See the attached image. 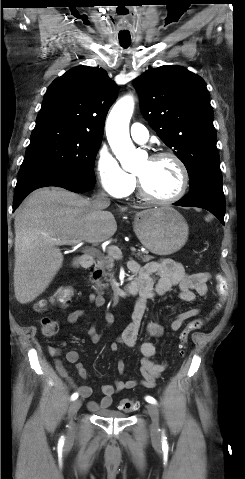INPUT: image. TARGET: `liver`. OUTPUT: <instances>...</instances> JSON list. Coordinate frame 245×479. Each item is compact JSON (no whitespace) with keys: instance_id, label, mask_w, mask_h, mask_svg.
Here are the masks:
<instances>
[{"instance_id":"obj_1","label":"liver","mask_w":245,"mask_h":479,"mask_svg":"<svg viewBox=\"0 0 245 479\" xmlns=\"http://www.w3.org/2000/svg\"><path fill=\"white\" fill-rule=\"evenodd\" d=\"M109 205L61 188L34 191L15 213L14 291L21 304L32 302L49 286L63 263L58 247L78 239L103 242L117 230Z\"/></svg>"}]
</instances>
